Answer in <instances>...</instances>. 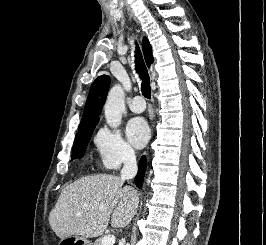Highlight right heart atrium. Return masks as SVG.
<instances>
[{
    "instance_id": "1",
    "label": "right heart atrium",
    "mask_w": 266,
    "mask_h": 245,
    "mask_svg": "<svg viewBox=\"0 0 266 245\" xmlns=\"http://www.w3.org/2000/svg\"><path fill=\"white\" fill-rule=\"evenodd\" d=\"M93 143L100 163L106 170H117L135 160L134 150L116 128L100 126L94 133Z\"/></svg>"
}]
</instances>
